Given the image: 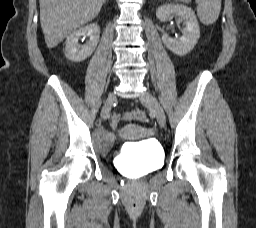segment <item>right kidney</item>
<instances>
[{
  "mask_svg": "<svg viewBox=\"0 0 256 228\" xmlns=\"http://www.w3.org/2000/svg\"><path fill=\"white\" fill-rule=\"evenodd\" d=\"M100 35V28L96 23L89 24L82 27L67 37L65 42V56L73 62H80L88 57L94 52ZM82 36H88L89 40L82 46L79 45L78 41Z\"/></svg>",
  "mask_w": 256,
  "mask_h": 228,
  "instance_id": "ca27d5eb",
  "label": "right kidney"
}]
</instances>
